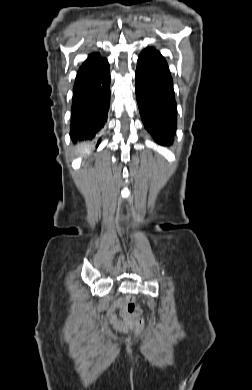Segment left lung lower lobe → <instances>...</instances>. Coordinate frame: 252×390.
<instances>
[{
  "label": "left lung lower lobe",
  "mask_w": 252,
  "mask_h": 390,
  "mask_svg": "<svg viewBox=\"0 0 252 390\" xmlns=\"http://www.w3.org/2000/svg\"><path fill=\"white\" fill-rule=\"evenodd\" d=\"M136 99L145 129L160 145H171L177 125V103L169 66L151 47L138 57Z\"/></svg>",
  "instance_id": "1"
}]
</instances>
